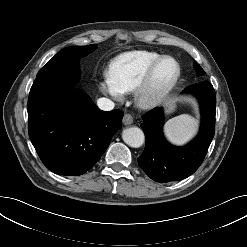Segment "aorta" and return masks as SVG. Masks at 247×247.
<instances>
[{
    "label": "aorta",
    "instance_id": "1",
    "mask_svg": "<svg viewBox=\"0 0 247 247\" xmlns=\"http://www.w3.org/2000/svg\"><path fill=\"white\" fill-rule=\"evenodd\" d=\"M122 139L128 146L138 148L143 145L145 136L140 128L130 127L123 130Z\"/></svg>",
    "mask_w": 247,
    "mask_h": 247
}]
</instances>
